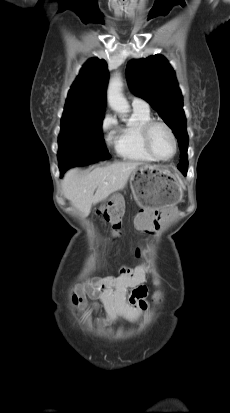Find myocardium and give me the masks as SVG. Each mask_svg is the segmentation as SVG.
Masks as SVG:
<instances>
[{
	"label": "myocardium",
	"mask_w": 230,
	"mask_h": 413,
	"mask_svg": "<svg viewBox=\"0 0 230 413\" xmlns=\"http://www.w3.org/2000/svg\"><path fill=\"white\" fill-rule=\"evenodd\" d=\"M156 125L163 126L168 131L172 139V142H173V146H174L173 153L167 159L159 157L153 151L152 146H151V142H150L151 131L153 127ZM141 137H142V142H143L145 150L154 160L160 161V162H168V161H171L176 156L177 151H178V141H177V138H176V135L173 129L167 122L163 120H158V119H151L150 121H148L147 123L143 125L142 130H141Z\"/></svg>",
	"instance_id": "obj_1"
}]
</instances>
